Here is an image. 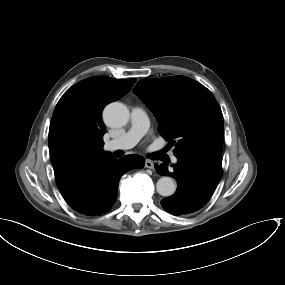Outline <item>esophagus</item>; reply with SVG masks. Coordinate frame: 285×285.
<instances>
[{
    "label": "esophagus",
    "instance_id": "1",
    "mask_svg": "<svg viewBox=\"0 0 285 285\" xmlns=\"http://www.w3.org/2000/svg\"><path fill=\"white\" fill-rule=\"evenodd\" d=\"M145 167L148 168V169H153L154 168V163L151 160L146 159Z\"/></svg>",
    "mask_w": 285,
    "mask_h": 285
}]
</instances>
